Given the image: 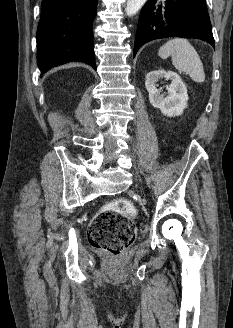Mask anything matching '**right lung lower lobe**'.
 I'll list each match as a JSON object with an SVG mask.
<instances>
[{
	"instance_id": "98d812e1",
	"label": "right lung lower lobe",
	"mask_w": 233,
	"mask_h": 328,
	"mask_svg": "<svg viewBox=\"0 0 233 328\" xmlns=\"http://www.w3.org/2000/svg\"><path fill=\"white\" fill-rule=\"evenodd\" d=\"M98 0H43L37 29L41 73L71 61L96 69L92 23Z\"/></svg>"
}]
</instances>
